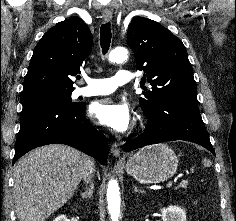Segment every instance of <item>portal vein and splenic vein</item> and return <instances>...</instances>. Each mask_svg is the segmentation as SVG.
<instances>
[{
	"label": "portal vein and splenic vein",
	"mask_w": 236,
	"mask_h": 221,
	"mask_svg": "<svg viewBox=\"0 0 236 221\" xmlns=\"http://www.w3.org/2000/svg\"><path fill=\"white\" fill-rule=\"evenodd\" d=\"M172 185H173V182H172V181H169V182L167 183V185H166V188H171ZM186 185H187V181H186V180H183V181L179 184L180 187H185Z\"/></svg>",
	"instance_id": "obj_1"
}]
</instances>
